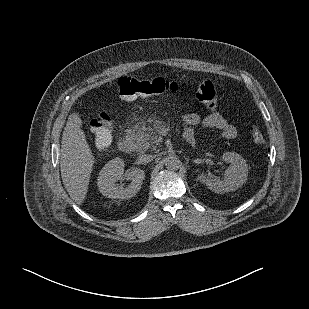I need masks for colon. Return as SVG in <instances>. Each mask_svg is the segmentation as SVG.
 Wrapping results in <instances>:
<instances>
[{"label":"colon","mask_w":309,"mask_h":309,"mask_svg":"<svg viewBox=\"0 0 309 309\" xmlns=\"http://www.w3.org/2000/svg\"><path fill=\"white\" fill-rule=\"evenodd\" d=\"M119 95L124 101H134L150 95L166 92L176 93L179 91L177 83L155 78L151 80H137L130 77H122L118 80ZM194 94L196 99L207 109L214 111L218 103V95L214 84L211 81H203L196 85ZM112 118L109 113L102 112L91 119L89 128L94 134L97 144L102 147L109 145L112 139ZM252 141L256 145L264 143V137L260 129L252 125L249 128Z\"/></svg>","instance_id":"obj_1"}]
</instances>
